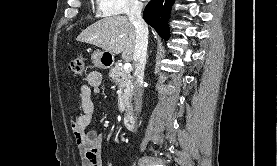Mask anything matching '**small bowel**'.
<instances>
[{"label": "small bowel", "mask_w": 277, "mask_h": 166, "mask_svg": "<svg viewBox=\"0 0 277 166\" xmlns=\"http://www.w3.org/2000/svg\"><path fill=\"white\" fill-rule=\"evenodd\" d=\"M102 76L97 71L90 72L79 89L81 114L71 120V129L76 141L82 166H102L103 133L88 130L95 112L92 100L98 95Z\"/></svg>", "instance_id": "small-bowel-1"}]
</instances>
